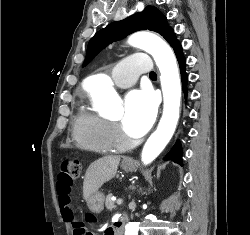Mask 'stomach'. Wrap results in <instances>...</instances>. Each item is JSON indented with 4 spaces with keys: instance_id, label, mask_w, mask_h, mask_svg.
<instances>
[{
    "instance_id": "stomach-1",
    "label": "stomach",
    "mask_w": 250,
    "mask_h": 235,
    "mask_svg": "<svg viewBox=\"0 0 250 235\" xmlns=\"http://www.w3.org/2000/svg\"><path fill=\"white\" fill-rule=\"evenodd\" d=\"M121 167L124 171L131 172L135 169V164L134 163L127 164L123 162ZM104 199L105 197L102 192L100 191L94 192L93 194H91L88 200L89 209L94 213L102 212L104 208Z\"/></svg>"
}]
</instances>
